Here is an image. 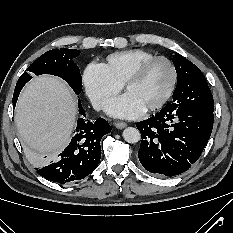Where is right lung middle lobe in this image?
<instances>
[{
    "mask_svg": "<svg viewBox=\"0 0 233 233\" xmlns=\"http://www.w3.org/2000/svg\"><path fill=\"white\" fill-rule=\"evenodd\" d=\"M80 54L76 49H53L34 61L19 78L15 89H20L33 74H51L64 79L78 95L82 90V77L73 59Z\"/></svg>",
    "mask_w": 233,
    "mask_h": 233,
    "instance_id": "right-lung-middle-lobe-1",
    "label": "right lung middle lobe"
}]
</instances>
